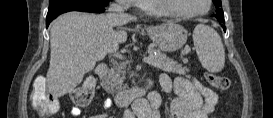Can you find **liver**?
<instances>
[{
	"label": "liver",
	"mask_w": 273,
	"mask_h": 118,
	"mask_svg": "<svg viewBox=\"0 0 273 118\" xmlns=\"http://www.w3.org/2000/svg\"><path fill=\"white\" fill-rule=\"evenodd\" d=\"M136 20L124 13L95 15L73 11L59 16L50 31L48 91L55 98L72 92L96 62L126 41L127 33L119 28Z\"/></svg>",
	"instance_id": "6515ba94"
}]
</instances>
